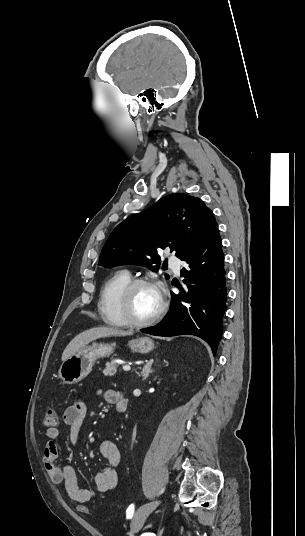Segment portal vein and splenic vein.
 <instances>
[{"label":"portal vein and splenic vein","instance_id":"18ae733b","mask_svg":"<svg viewBox=\"0 0 305 536\" xmlns=\"http://www.w3.org/2000/svg\"><path fill=\"white\" fill-rule=\"evenodd\" d=\"M123 370H125V372H129V370H131L130 366H123Z\"/></svg>","mask_w":305,"mask_h":536}]
</instances>
